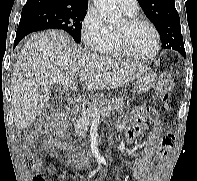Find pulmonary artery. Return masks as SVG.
<instances>
[{
	"label": "pulmonary artery",
	"instance_id": "pulmonary-artery-1",
	"mask_svg": "<svg viewBox=\"0 0 197 181\" xmlns=\"http://www.w3.org/2000/svg\"><path fill=\"white\" fill-rule=\"evenodd\" d=\"M117 3L126 14H134L138 10L137 0H117Z\"/></svg>",
	"mask_w": 197,
	"mask_h": 181
}]
</instances>
